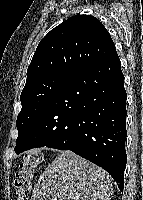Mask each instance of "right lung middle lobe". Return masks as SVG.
I'll return each mask as SVG.
<instances>
[{"instance_id":"obj_1","label":"right lung middle lobe","mask_w":143,"mask_h":200,"mask_svg":"<svg viewBox=\"0 0 143 200\" xmlns=\"http://www.w3.org/2000/svg\"><path fill=\"white\" fill-rule=\"evenodd\" d=\"M69 78L70 75L51 74L25 85L20 96L22 109L16 123L19 132L14 149L16 153L35 120Z\"/></svg>"}]
</instances>
